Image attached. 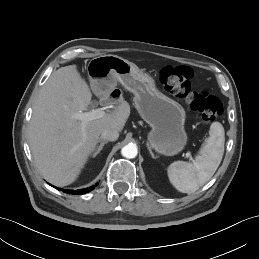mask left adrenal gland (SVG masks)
Instances as JSON below:
<instances>
[{
	"mask_svg": "<svg viewBox=\"0 0 259 259\" xmlns=\"http://www.w3.org/2000/svg\"><path fill=\"white\" fill-rule=\"evenodd\" d=\"M149 152H150V155L153 159H156V157L154 156L153 152L151 151V149L149 148Z\"/></svg>",
	"mask_w": 259,
	"mask_h": 259,
	"instance_id": "1",
	"label": "left adrenal gland"
}]
</instances>
